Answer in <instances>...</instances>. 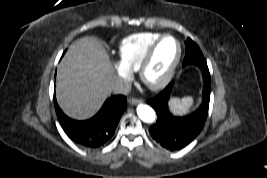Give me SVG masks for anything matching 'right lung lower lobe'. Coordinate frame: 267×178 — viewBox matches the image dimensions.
I'll return each mask as SVG.
<instances>
[{"label": "right lung lower lobe", "mask_w": 267, "mask_h": 178, "mask_svg": "<svg viewBox=\"0 0 267 178\" xmlns=\"http://www.w3.org/2000/svg\"><path fill=\"white\" fill-rule=\"evenodd\" d=\"M58 120L67 136L86 148L103 146L114 134L121 115L127 108L123 95L108 98L99 112L89 120L77 121L65 115L54 98Z\"/></svg>", "instance_id": "1"}]
</instances>
